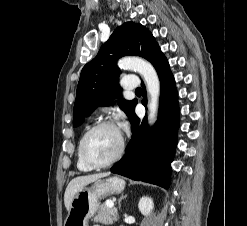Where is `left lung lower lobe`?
<instances>
[{
  "label": "left lung lower lobe",
  "mask_w": 247,
  "mask_h": 226,
  "mask_svg": "<svg viewBox=\"0 0 247 226\" xmlns=\"http://www.w3.org/2000/svg\"><path fill=\"white\" fill-rule=\"evenodd\" d=\"M151 63L160 79L158 120L149 132L146 117L139 125V118L133 109L130 117L133 135L128 144V150L122 159L111 168V172L167 189L171 176L170 164L177 145L176 137L179 128L178 94L169 63L161 50ZM142 86L143 104L146 106V90L143 84Z\"/></svg>",
  "instance_id": "0a47b994"
}]
</instances>
